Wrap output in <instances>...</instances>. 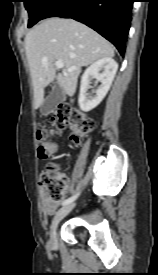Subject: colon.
<instances>
[{
    "label": "colon",
    "instance_id": "obj_1",
    "mask_svg": "<svg viewBox=\"0 0 158 275\" xmlns=\"http://www.w3.org/2000/svg\"><path fill=\"white\" fill-rule=\"evenodd\" d=\"M93 120L84 112L59 106L50 111L42 128L37 131V152L41 159L49 158L57 149L52 133L60 134L65 128L72 132L74 142H79L93 127ZM39 184L47 191L51 201L61 202L67 187V177L58 170L57 164L48 162L39 177Z\"/></svg>",
    "mask_w": 158,
    "mask_h": 275
}]
</instances>
